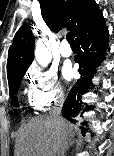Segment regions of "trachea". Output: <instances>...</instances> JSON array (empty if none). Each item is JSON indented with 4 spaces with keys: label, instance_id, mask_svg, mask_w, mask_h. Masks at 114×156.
Instances as JSON below:
<instances>
[{
    "label": "trachea",
    "instance_id": "1",
    "mask_svg": "<svg viewBox=\"0 0 114 156\" xmlns=\"http://www.w3.org/2000/svg\"><path fill=\"white\" fill-rule=\"evenodd\" d=\"M66 38H67V41L69 42V44H71V45L75 44L74 38L70 32L67 33Z\"/></svg>",
    "mask_w": 114,
    "mask_h": 156
}]
</instances>
